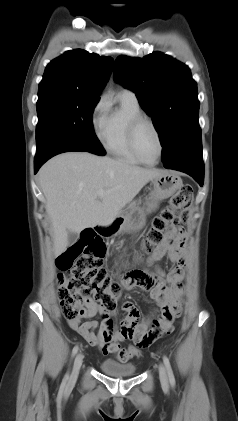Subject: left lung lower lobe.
Instances as JSON below:
<instances>
[{
    "label": "left lung lower lobe",
    "mask_w": 238,
    "mask_h": 421,
    "mask_svg": "<svg viewBox=\"0 0 238 421\" xmlns=\"http://www.w3.org/2000/svg\"><path fill=\"white\" fill-rule=\"evenodd\" d=\"M164 167L185 172L192 176L200 186H203L204 164L201 136L177 152L167 163H164Z\"/></svg>",
    "instance_id": "obj_1"
}]
</instances>
